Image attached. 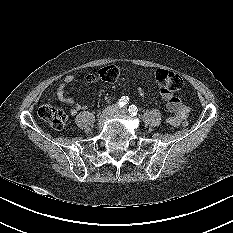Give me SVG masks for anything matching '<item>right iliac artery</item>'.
I'll use <instances>...</instances> for the list:
<instances>
[{
    "label": "right iliac artery",
    "mask_w": 233,
    "mask_h": 233,
    "mask_svg": "<svg viewBox=\"0 0 233 233\" xmlns=\"http://www.w3.org/2000/svg\"><path fill=\"white\" fill-rule=\"evenodd\" d=\"M129 102V97L128 96H122L121 99L119 100L118 106L119 107H124L127 105Z\"/></svg>",
    "instance_id": "right-iliac-artery-1"
}]
</instances>
